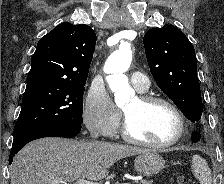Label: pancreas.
I'll return each mask as SVG.
<instances>
[{
  "label": "pancreas",
  "instance_id": "pancreas-1",
  "mask_svg": "<svg viewBox=\"0 0 224 184\" xmlns=\"http://www.w3.org/2000/svg\"><path fill=\"white\" fill-rule=\"evenodd\" d=\"M139 184H152V183L147 180H141Z\"/></svg>",
  "mask_w": 224,
  "mask_h": 184
}]
</instances>
